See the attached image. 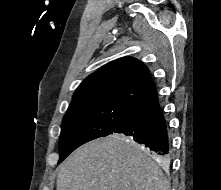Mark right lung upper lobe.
Listing matches in <instances>:
<instances>
[{"label": "right lung upper lobe", "mask_w": 221, "mask_h": 190, "mask_svg": "<svg viewBox=\"0 0 221 190\" xmlns=\"http://www.w3.org/2000/svg\"><path fill=\"white\" fill-rule=\"evenodd\" d=\"M157 95L149 69L132 57H123L102 66L76 89L69 107L112 102L137 108Z\"/></svg>", "instance_id": "right-lung-upper-lobe-1"}]
</instances>
